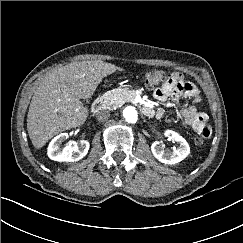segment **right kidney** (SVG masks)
I'll return each mask as SVG.
<instances>
[{
	"label": "right kidney",
	"mask_w": 243,
	"mask_h": 243,
	"mask_svg": "<svg viewBox=\"0 0 243 243\" xmlns=\"http://www.w3.org/2000/svg\"><path fill=\"white\" fill-rule=\"evenodd\" d=\"M68 137V133H61L52 139L47 150L50 159L60 162H76L87 155L90 144L86 140L68 144L61 148L62 142Z\"/></svg>",
	"instance_id": "1"
}]
</instances>
